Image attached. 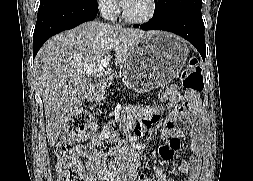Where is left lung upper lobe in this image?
<instances>
[{"label": "left lung upper lobe", "instance_id": "5c2ea615", "mask_svg": "<svg viewBox=\"0 0 253 181\" xmlns=\"http://www.w3.org/2000/svg\"><path fill=\"white\" fill-rule=\"evenodd\" d=\"M201 0H157L153 18L169 15L183 9L201 10Z\"/></svg>", "mask_w": 253, "mask_h": 181}]
</instances>
